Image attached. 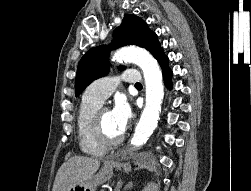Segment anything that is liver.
Returning <instances> with one entry per match:
<instances>
[{"instance_id": "6515ba94", "label": "liver", "mask_w": 251, "mask_h": 191, "mask_svg": "<svg viewBox=\"0 0 251 191\" xmlns=\"http://www.w3.org/2000/svg\"><path fill=\"white\" fill-rule=\"evenodd\" d=\"M99 167V159L85 157V155L69 157L59 167L52 191H69V187H72L74 183H78V185L89 183Z\"/></svg>"}]
</instances>
